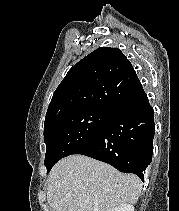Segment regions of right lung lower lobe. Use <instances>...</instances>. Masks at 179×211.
Listing matches in <instances>:
<instances>
[{
	"instance_id": "98d812e1",
	"label": "right lung lower lobe",
	"mask_w": 179,
	"mask_h": 211,
	"mask_svg": "<svg viewBox=\"0 0 179 211\" xmlns=\"http://www.w3.org/2000/svg\"><path fill=\"white\" fill-rule=\"evenodd\" d=\"M155 134L154 111L141 87L120 103L100 133L73 154L106 162L136 174L143 182L151 163Z\"/></svg>"
}]
</instances>
